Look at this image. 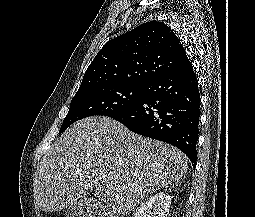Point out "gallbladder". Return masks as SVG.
Returning <instances> with one entry per match:
<instances>
[{
	"label": "gallbladder",
	"mask_w": 255,
	"mask_h": 217,
	"mask_svg": "<svg viewBox=\"0 0 255 217\" xmlns=\"http://www.w3.org/2000/svg\"><path fill=\"white\" fill-rule=\"evenodd\" d=\"M95 214L94 203L89 198L69 206L66 210V217H92Z\"/></svg>",
	"instance_id": "gallbladder-1"
}]
</instances>
